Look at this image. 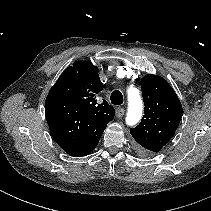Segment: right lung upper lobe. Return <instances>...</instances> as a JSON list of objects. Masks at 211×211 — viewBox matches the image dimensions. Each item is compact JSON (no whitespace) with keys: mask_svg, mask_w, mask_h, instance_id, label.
<instances>
[{"mask_svg":"<svg viewBox=\"0 0 211 211\" xmlns=\"http://www.w3.org/2000/svg\"><path fill=\"white\" fill-rule=\"evenodd\" d=\"M103 89L99 79L98 68L90 62L79 61L69 66L61 74L55 85L50 89L49 95L71 98L78 109L75 124L77 133L89 130L106 128L115 115V110L103 100L101 104L96 101V94ZM55 140L59 143L72 144L78 138L70 134L57 132Z\"/></svg>","mask_w":211,"mask_h":211,"instance_id":"cb5924a9","label":"right lung upper lobe"}]
</instances>
